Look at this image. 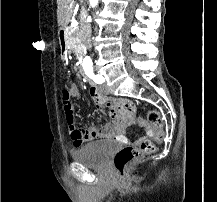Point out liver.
I'll return each instance as SVG.
<instances>
[{
	"label": "liver",
	"mask_w": 217,
	"mask_h": 202,
	"mask_svg": "<svg viewBox=\"0 0 217 202\" xmlns=\"http://www.w3.org/2000/svg\"><path fill=\"white\" fill-rule=\"evenodd\" d=\"M73 10V0H57V20L60 30L68 26Z\"/></svg>",
	"instance_id": "6515ba94"
}]
</instances>
